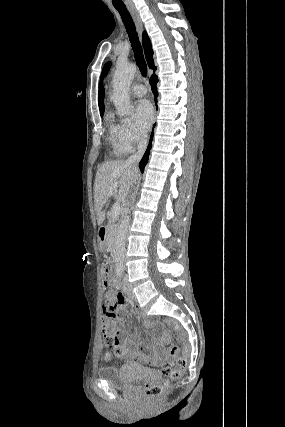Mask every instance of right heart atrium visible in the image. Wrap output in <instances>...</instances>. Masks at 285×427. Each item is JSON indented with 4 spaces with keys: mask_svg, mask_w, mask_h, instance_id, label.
Wrapping results in <instances>:
<instances>
[{
    "mask_svg": "<svg viewBox=\"0 0 285 427\" xmlns=\"http://www.w3.org/2000/svg\"><path fill=\"white\" fill-rule=\"evenodd\" d=\"M116 136L121 148L126 152H132L136 146L145 141V135L129 118H123L116 126Z\"/></svg>",
    "mask_w": 285,
    "mask_h": 427,
    "instance_id": "d8ad5b80",
    "label": "right heart atrium"
}]
</instances>
